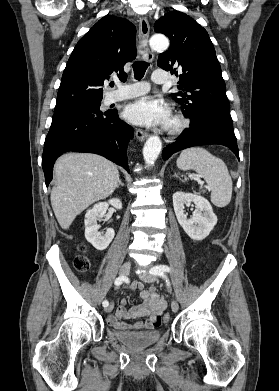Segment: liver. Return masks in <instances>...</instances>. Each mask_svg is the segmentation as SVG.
I'll list each match as a JSON object with an SVG mask.
<instances>
[{
	"label": "liver",
	"instance_id": "liver-1",
	"mask_svg": "<svg viewBox=\"0 0 279 391\" xmlns=\"http://www.w3.org/2000/svg\"><path fill=\"white\" fill-rule=\"evenodd\" d=\"M51 205L62 229L95 201L110 196L119 183L115 164L91 153H66L54 165Z\"/></svg>",
	"mask_w": 279,
	"mask_h": 391
}]
</instances>
